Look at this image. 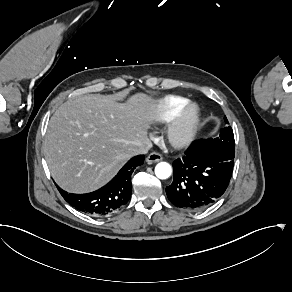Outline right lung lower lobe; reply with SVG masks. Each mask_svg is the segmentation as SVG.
I'll return each mask as SVG.
<instances>
[{
	"instance_id": "obj_1",
	"label": "right lung lower lobe",
	"mask_w": 292,
	"mask_h": 292,
	"mask_svg": "<svg viewBox=\"0 0 292 292\" xmlns=\"http://www.w3.org/2000/svg\"><path fill=\"white\" fill-rule=\"evenodd\" d=\"M144 155L130 159L118 174L102 188L86 194L67 193L57 186L63 198L77 210L92 216H105L125 205L132 193L131 175L144 163Z\"/></svg>"
}]
</instances>
